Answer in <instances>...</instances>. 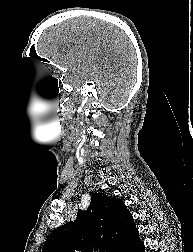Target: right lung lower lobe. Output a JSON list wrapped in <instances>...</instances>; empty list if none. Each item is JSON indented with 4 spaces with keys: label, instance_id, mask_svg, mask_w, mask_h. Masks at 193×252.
<instances>
[{
    "label": "right lung lower lobe",
    "instance_id": "right-lung-lower-lobe-1",
    "mask_svg": "<svg viewBox=\"0 0 193 252\" xmlns=\"http://www.w3.org/2000/svg\"><path fill=\"white\" fill-rule=\"evenodd\" d=\"M118 252H145L144 244L138 236V230H136Z\"/></svg>",
    "mask_w": 193,
    "mask_h": 252
}]
</instances>
